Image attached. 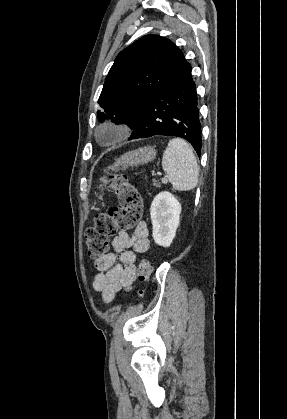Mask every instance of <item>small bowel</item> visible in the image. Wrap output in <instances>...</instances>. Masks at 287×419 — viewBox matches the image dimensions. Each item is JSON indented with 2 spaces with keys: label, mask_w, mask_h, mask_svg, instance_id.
Instances as JSON below:
<instances>
[{
  "label": "small bowel",
  "mask_w": 287,
  "mask_h": 419,
  "mask_svg": "<svg viewBox=\"0 0 287 419\" xmlns=\"http://www.w3.org/2000/svg\"><path fill=\"white\" fill-rule=\"evenodd\" d=\"M148 226L139 222L130 232H120L112 241V251L95 260L98 274L93 286L103 301L111 302L120 291L132 289L136 279L137 254L149 249ZM117 255H119L117 261Z\"/></svg>",
  "instance_id": "c3829d8e"
}]
</instances>
